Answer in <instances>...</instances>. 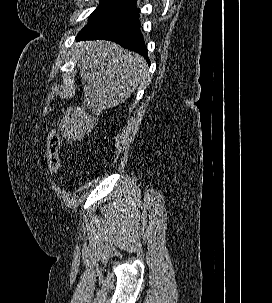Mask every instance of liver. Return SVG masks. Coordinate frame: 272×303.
I'll use <instances>...</instances> for the list:
<instances>
[{"label":"liver","instance_id":"1","mask_svg":"<svg viewBox=\"0 0 272 303\" xmlns=\"http://www.w3.org/2000/svg\"><path fill=\"white\" fill-rule=\"evenodd\" d=\"M76 48L85 98L81 107L67 108L60 124L62 136L73 140L83 138L103 110L124 103L147 79L144 58L114 42L85 41ZM86 108L92 109L93 115Z\"/></svg>","mask_w":272,"mask_h":303}]
</instances>
